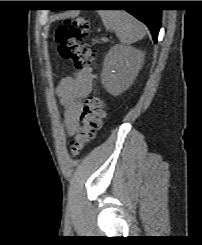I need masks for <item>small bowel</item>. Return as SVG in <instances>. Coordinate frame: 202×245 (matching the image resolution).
<instances>
[{"label": "small bowel", "instance_id": "1", "mask_svg": "<svg viewBox=\"0 0 202 245\" xmlns=\"http://www.w3.org/2000/svg\"><path fill=\"white\" fill-rule=\"evenodd\" d=\"M91 87V74L88 69L75 72L73 76L63 78L57 87V93L68 115L65 127L69 135H73L78 127V112L82 108Z\"/></svg>", "mask_w": 202, "mask_h": 245}]
</instances>
